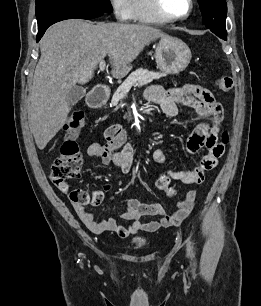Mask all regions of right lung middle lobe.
<instances>
[{
	"label": "right lung middle lobe",
	"mask_w": 261,
	"mask_h": 306,
	"mask_svg": "<svg viewBox=\"0 0 261 306\" xmlns=\"http://www.w3.org/2000/svg\"><path fill=\"white\" fill-rule=\"evenodd\" d=\"M36 6H51L75 10L111 13L109 0H36Z\"/></svg>",
	"instance_id": "obj_1"
}]
</instances>
